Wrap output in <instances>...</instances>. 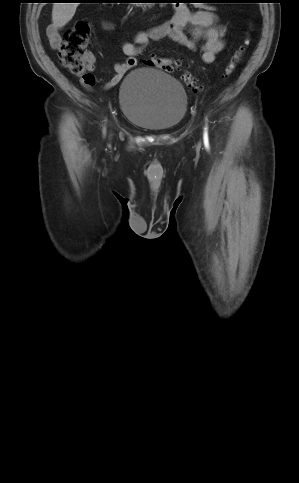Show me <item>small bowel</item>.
Instances as JSON below:
<instances>
[{
  "instance_id": "1",
  "label": "small bowel",
  "mask_w": 299,
  "mask_h": 483,
  "mask_svg": "<svg viewBox=\"0 0 299 483\" xmlns=\"http://www.w3.org/2000/svg\"><path fill=\"white\" fill-rule=\"evenodd\" d=\"M105 29H111V24H104ZM226 28L217 24V15L212 9L191 11L186 4H177L173 17L160 25L136 34L132 42H125L121 49L127 56L126 60L114 65L115 74L108 82V87L118 84L125 74L138 64V56L145 50L150 41L170 39L191 51L200 46L201 58L205 64H213L217 55L224 49ZM49 42L53 48H58L62 42L58 28L50 25L47 30ZM87 69L92 72L95 67V57L87 54Z\"/></svg>"
}]
</instances>
